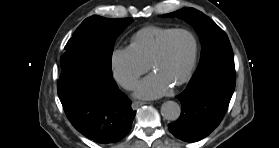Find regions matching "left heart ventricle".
<instances>
[{
    "label": "left heart ventricle",
    "mask_w": 279,
    "mask_h": 148,
    "mask_svg": "<svg viewBox=\"0 0 279 148\" xmlns=\"http://www.w3.org/2000/svg\"><path fill=\"white\" fill-rule=\"evenodd\" d=\"M192 54V38L178 33L169 39L164 57L153 66L152 72L175 83L188 69Z\"/></svg>",
    "instance_id": "left-heart-ventricle-1"
}]
</instances>
